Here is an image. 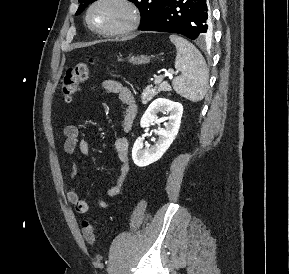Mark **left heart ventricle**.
<instances>
[{
	"mask_svg": "<svg viewBox=\"0 0 289 274\" xmlns=\"http://www.w3.org/2000/svg\"><path fill=\"white\" fill-rule=\"evenodd\" d=\"M127 18L123 7L114 3H104L93 9L91 13L92 24L102 30L114 29L122 25Z\"/></svg>",
	"mask_w": 289,
	"mask_h": 274,
	"instance_id": "1",
	"label": "left heart ventricle"
}]
</instances>
